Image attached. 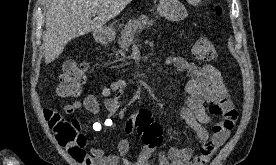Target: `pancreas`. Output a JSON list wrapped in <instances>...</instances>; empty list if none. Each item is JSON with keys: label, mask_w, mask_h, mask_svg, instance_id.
Masks as SVG:
<instances>
[{"label": "pancreas", "mask_w": 276, "mask_h": 165, "mask_svg": "<svg viewBox=\"0 0 276 165\" xmlns=\"http://www.w3.org/2000/svg\"><path fill=\"white\" fill-rule=\"evenodd\" d=\"M154 25L153 20L145 15H141L139 18L130 20L121 31L120 38L118 39L119 50L116 51L115 55L118 61H123L128 48L133 44L135 34L140 33L144 29H148ZM119 55L121 57L119 58Z\"/></svg>", "instance_id": "cf45deb5"}]
</instances>
